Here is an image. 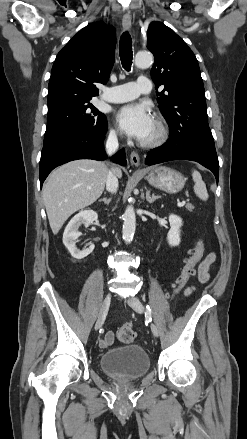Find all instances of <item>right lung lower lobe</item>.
<instances>
[{"label": "right lung lower lobe", "mask_w": 247, "mask_h": 439, "mask_svg": "<svg viewBox=\"0 0 247 439\" xmlns=\"http://www.w3.org/2000/svg\"><path fill=\"white\" fill-rule=\"evenodd\" d=\"M107 124L98 130L65 134L44 142L40 159V185L57 166L77 159L104 160V137ZM121 165L126 164L124 149L112 157Z\"/></svg>", "instance_id": "right-lung-lower-lobe-1"}]
</instances>
